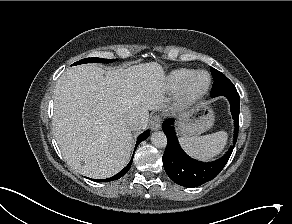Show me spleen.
I'll return each mask as SVG.
<instances>
[{"instance_id":"obj_1","label":"spleen","mask_w":292,"mask_h":224,"mask_svg":"<svg viewBox=\"0 0 292 224\" xmlns=\"http://www.w3.org/2000/svg\"><path fill=\"white\" fill-rule=\"evenodd\" d=\"M227 138V132L219 131L201 137L183 136L180 138V144L191 157L208 161L221 153Z\"/></svg>"}]
</instances>
